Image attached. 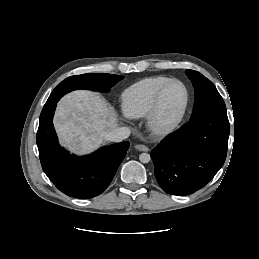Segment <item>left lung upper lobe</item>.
Returning <instances> with one entry per match:
<instances>
[{
  "label": "left lung upper lobe",
  "instance_id": "obj_1",
  "mask_svg": "<svg viewBox=\"0 0 259 259\" xmlns=\"http://www.w3.org/2000/svg\"><path fill=\"white\" fill-rule=\"evenodd\" d=\"M186 75L191 80L195 97L191 118L211 111H226L225 103L215 85L194 70H186Z\"/></svg>",
  "mask_w": 259,
  "mask_h": 259
}]
</instances>
